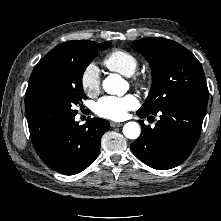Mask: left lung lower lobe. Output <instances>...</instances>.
Wrapping results in <instances>:
<instances>
[{
    "mask_svg": "<svg viewBox=\"0 0 221 221\" xmlns=\"http://www.w3.org/2000/svg\"><path fill=\"white\" fill-rule=\"evenodd\" d=\"M206 107L202 102L183 100L161 109L160 120L153 129L141 120L142 134L130 146L133 154L158 170L180 165L199 139ZM137 115L145 118L151 114L138 110Z\"/></svg>",
    "mask_w": 221,
    "mask_h": 221,
    "instance_id": "0a47b994",
    "label": "left lung lower lobe"
}]
</instances>
